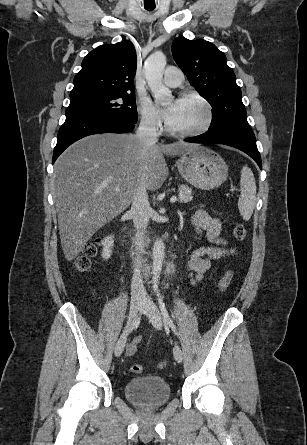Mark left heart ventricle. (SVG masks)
I'll use <instances>...</instances> for the list:
<instances>
[{
  "label": "left heart ventricle",
  "mask_w": 307,
  "mask_h": 445,
  "mask_svg": "<svg viewBox=\"0 0 307 445\" xmlns=\"http://www.w3.org/2000/svg\"><path fill=\"white\" fill-rule=\"evenodd\" d=\"M205 119L206 111L199 102L179 99L175 115L169 124L175 130L187 131L199 127Z\"/></svg>",
  "instance_id": "1"
}]
</instances>
